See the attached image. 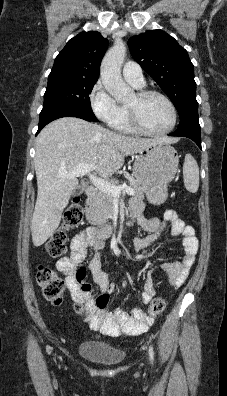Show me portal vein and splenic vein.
Returning <instances> with one entry per match:
<instances>
[{
	"instance_id": "portal-vein-and-splenic-vein-1",
	"label": "portal vein and splenic vein",
	"mask_w": 227,
	"mask_h": 396,
	"mask_svg": "<svg viewBox=\"0 0 227 396\" xmlns=\"http://www.w3.org/2000/svg\"><path fill=\"white\" fill-rule=\"evenodd\" d=\"M96 166L94 164H79L74 167L70 172H60L59 176L61 178H75L79 176L88 175L93 185L104 193L110 194L113 197H119L121 191L127 193L128 195H134L135 191L131 187L126 185H115L110 182L91 174V171L95 170Z\"/></svg>"
}]
</instances>
